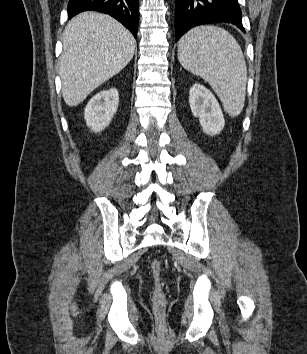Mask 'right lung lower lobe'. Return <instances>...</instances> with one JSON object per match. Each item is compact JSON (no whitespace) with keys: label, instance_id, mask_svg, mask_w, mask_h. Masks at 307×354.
<instances>
[{"label":"right lung lower lobe","instance_id":"98d812e1","mask_svg":"<svg viewBox=\"0 0 307 354\" xmlns=\"http://www.w3.org/2000/svg\"><path fill=\"white\" fill-rule=\"evenodd\" d=\"M95 10L111 15L121 22L136 38L139 22V0H70L68 18L76 14Z\"/></svg>","mask_w":307,"mask_h":354}]
</instances>
